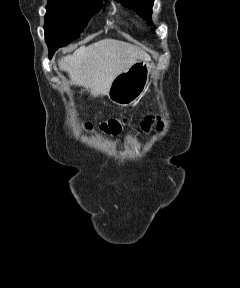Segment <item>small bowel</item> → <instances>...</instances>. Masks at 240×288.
Returning <instances> with one entry per match:
<instances>
[{"mask_svg": "<svg viewBox=\"0 0 240 288\" xmlns=\"http://www.w3.org/2000/svg\"><path fill=\"white\" fill-rule=\"evenodd\" d=\"M153 123V118L152 117H147L144 122L142 123V128L144 131H148L151 127V124ZM161 127V125H159V128Z\"/></svg>", "mask_w": 240, "mask_h": 288, "instance_id": "obj_1", "label": "small bowel"}]
</instances>
